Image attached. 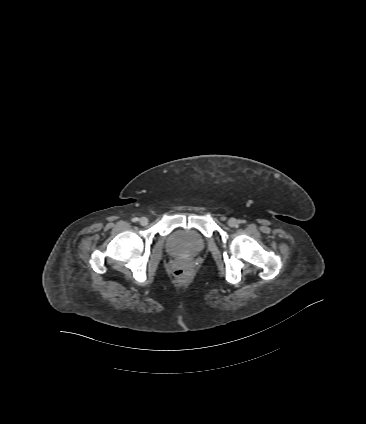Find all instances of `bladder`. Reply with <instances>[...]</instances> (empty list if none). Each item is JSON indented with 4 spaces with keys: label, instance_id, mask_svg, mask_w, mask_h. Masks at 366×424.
<instances>
[{
    "label": "bladder",
    "instance_id": "obj_1",
    "mask_svg": "<svg viewBox=\"0 0 366 424\" xmlns=\"http://www.w3.org/2000/svg\"><path fill=\"white\" fill-rule=\"evenodd\" d=\"M204 247V237L190 229L175 230L166 239V249L177 256H196Z\"/></svg>",
    "mask_w": 366,
    "mask_h": 424
}]
</instances>
